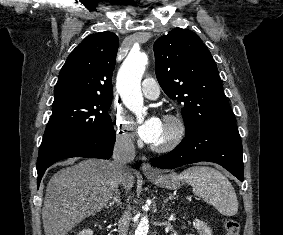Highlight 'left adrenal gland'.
I'll use <instances>...</instances> for the list:
<instances>
[{
	"label": "left adrenal gland",
	"mask_w": 283,
	"mask_h": 235,
	"mask_svg": "<svg viewBox=\"0 0 283 235\" xmlns=\"http://www.w3.org/2000/svg\"><path fill=\"white\" fill-rule=\"evenodd\" d=\"M173 199H175V196L173 194H168V197L164 200L163 207H164L165 203H167L169 200H173Z\"/></svg>",
	"instance_id": "a2214340"
}]
</instances>
